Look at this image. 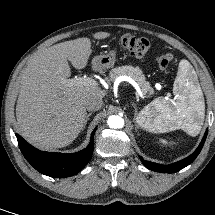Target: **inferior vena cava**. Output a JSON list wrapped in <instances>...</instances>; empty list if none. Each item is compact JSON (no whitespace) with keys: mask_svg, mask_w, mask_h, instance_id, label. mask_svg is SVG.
<instances>
[{"mask_svg":"<svg viewBox=\"0 0 215 215\" xmlns=\"http://www.w3.org/2000/svg\"><path fill=\"white\" fill-rule=\"evenodd\" d=\"M103 106V100L98 97H89L85 101V107L88 111H97Z\"/></svg>","mask_w":215,"mask_h":215,"instance_id":"obj_1","label":"inferior vena cava"}]
</instances>
